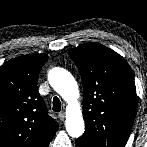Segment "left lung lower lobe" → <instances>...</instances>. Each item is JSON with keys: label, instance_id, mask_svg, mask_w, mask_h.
Masks as SVG:
<instances>
[{"label": "left lung lower lobe", "instance_id": "0a47b994", "mask_svg": "<svg viewBox=\"0 0 147 147\" xmlns=\"http://www.w3.org/2000/svg\"><path fill=\"white\" fill-rule=\"evenodd\" d=\"M76 147H87L82 142L76 141Z\"/></svg>", "mask_w": 147, "mask_h": 147}]
</instances>
